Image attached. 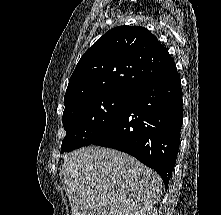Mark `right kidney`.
<instances>
[{
  "label": "right kidney",
  "instance_id": "right-kidney-1",
  "mask_svg": "<svg viewBox=\"0 0 221 215\" xmlns=\"http://www.w3.org/2000/svg\"><path fill=\"white\" fill-rule=\"evenodd\" d=\"M132 215H157V209L155 207L148 206L134 212Z\"/></svg>",
  "mask_w": 221,
  "mask_h": 215
}]
</instances>
